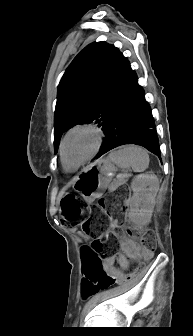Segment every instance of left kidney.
I'll return each instance as SVG.
<instances>
[{
  "mask_svg": "<svg viewBox=\"0 0 193 336\" xmlns=\"http://www.w3.org/2000/svg\"><path fill=\"white\" fill-rule=\"evenodd\" d=\"M131 188L134 195L129 200V219L137 226L147 225L151 221L159 180L154 173L147 172L136 176Z\"/></svg>",
  "mask_w": 193,
  "mask_h": 336,
  "instance_id": "5707ae66",
  "label": "left kidney"
}]
</instances>
